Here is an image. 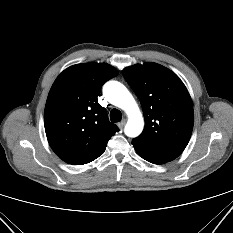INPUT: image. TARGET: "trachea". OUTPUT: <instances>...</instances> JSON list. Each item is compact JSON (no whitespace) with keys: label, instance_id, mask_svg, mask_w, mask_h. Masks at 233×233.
<instances>
[{"label":"trachea","instance_id":"3493384b","mask_svg":"<svg viewBox=\"0 0 233 233\" xmlns=\"http://www.w3.org/2000/svg\"><path fill=\"white\" fill-rule=\"evenodd\" d=\"M122 114L118 109H112L110 112V119L112 122L116 123L121 121Z\"/></svg>","mask_w":233,"mask_h":233}]
</instances>
